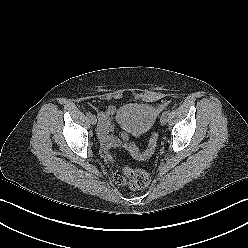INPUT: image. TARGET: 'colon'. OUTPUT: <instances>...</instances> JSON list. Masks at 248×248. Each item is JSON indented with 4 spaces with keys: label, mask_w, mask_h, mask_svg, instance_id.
<instances>
[{
    "label": "colon",
    "mask_w": 248,
    "mask_h": 248,
    "mask_svg": "<svg viewBox=\"0 0 248 248\" xmlns=\"http://www.w3.org/2000/svg\"><path fill=\"white\" fill-rule=\"evenodd\" d=\"M157 143V134L153 133L145 152L141 153L133 143H127L125 147L135 156L139 158H146L150 156ZM114 181L116 184L127 186L132 190H139L145 188L149 182V174L143 169H135L125 166L122 170L114 174Z\"/></svg>",
    "instance_id": "colon-1"
}]
</instances>
